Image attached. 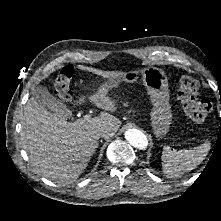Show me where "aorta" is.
I'll return each instance as SVG.
<instances>
[{
	"label": "aorta",
	"instance_id": "obj_1",
	"mask_svg": "<svg viewBox=\"0 0 221 221\" xmlns=\"http://www.w3.org/2000/svg\"><path fill=\"white\" fill-rule=\"evenodd\" d=\"M125 139L133 147L138 149H146L148 146L147 137L137 129H128L125 131Z\"/></svg>",
	"mask_w": 221,
	"mask_h": 221
}]
</instances>
